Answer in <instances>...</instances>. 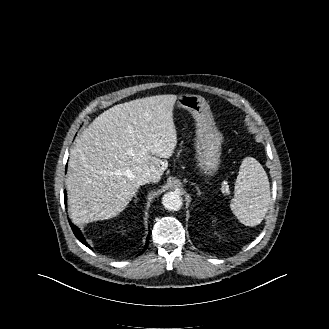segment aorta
<instances>
[{"instance_id": "1", "label": "aorta", "mask_w": 329, "mask_h": 329, "mask_svg": "<svg viewBox=\"0 0 329 329\" xmlns=\"http://www.w3.org/2000/svg\"><path fill=\"white\" fill-rule=\"evenodd\" d=\"M162 204L170 211H178L183 205L181 191L176 189L175 191H170L164 194L162 197Z\"/></svg>"}]
</instances>
